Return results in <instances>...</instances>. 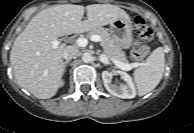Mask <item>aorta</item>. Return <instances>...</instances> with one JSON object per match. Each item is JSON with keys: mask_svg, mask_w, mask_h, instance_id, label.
<instances>
[{"mask_svg": "<svg viewBox=\"0 0 194 133\" xmlns=\"http://www.w3.org/2000/svg\"><path fill=\"white\" fill-rule=\"evenodd\" d=\"M92 55L88 52H85L83 55H82V61L84 63H90L92 61Z\"/></svg>", "mask_w": 194, "mask_h": 133, "instance_id": "1", "label": "aorta"}]
</instances>
